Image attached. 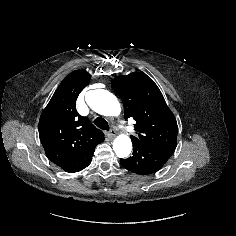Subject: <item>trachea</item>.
Here are the masks:
<instances>
[{"mask_svg": "<svg viewBox=\"0 0 236 236\" xmlns=\"http://www.w3.org/2000/svg\"><path fill=\"white\" fill-rule=\"evenodd\" d=\"M94 124L102 130H109L108 122L102 117H97L94 120Z\"/></svg>", "mask_w": 236, "mask_h": 236, "instance_id": "1", "label": "trachea"}]
</instances>
